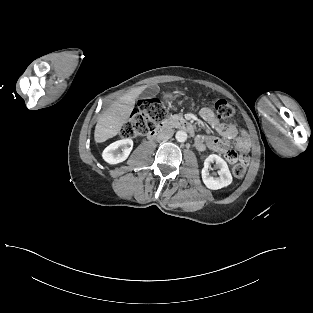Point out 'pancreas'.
Segmentation results:
<instances>
[{
  "label": "pancreas",
  "instance_id": "1",
  "mask_svg": "<svg viewBox=\"0 0 313 313\" xmlns=\"http://www.w3.org/2000/svg\"><path fill=\"white\" fill-rule=\"evenodd\" d=\"M176 119H177V116H172V117H170L169 121L174 122Z\"/></svg>",
  "mask_w": 313,
  "mask_h": 313
}]
</instances>
